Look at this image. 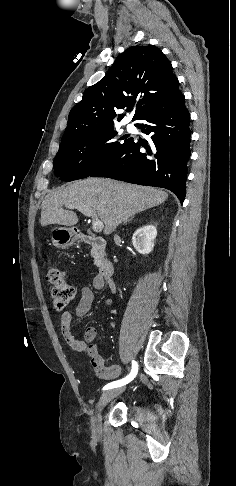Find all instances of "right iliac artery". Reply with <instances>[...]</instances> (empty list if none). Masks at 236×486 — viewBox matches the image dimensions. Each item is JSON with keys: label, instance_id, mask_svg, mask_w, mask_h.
Masks as SVG:
<instances>
[{"label": "right iliac artery", "instance_id": "right-iliac-artery-1", "mask_svg": "<svg viewBox=\"0 0 236 486\" xmlns=\"http://www.w3.org/2000/svg\"><path fill=\"white\" fill-rule=\"evenodd\" d=\"M137 372H138V365H137V362L133 360L132 361V370H131L130 374L128 376H126L125 378L121 379V380H117V381H114V382L107 384L103 388V390L111 389V388H117V387H120V386H123V385L129 383L130 381H132L135 378V376L137 375Z\"/></svg>", "mask_w": 236, "mask_h": 486}]
</instances>
